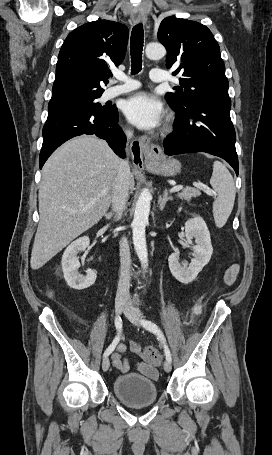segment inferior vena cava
Masks as SVG:
<instances>
[{
    "label": "inferior vena cava",
    "instance_id": "1",
    "mask_svg": "<svg viewBox=\"0 0 272 455\" xmlns=\"http://www.w3.org/2000/svg\"><path fill=\"white\" fill-rule=\"evenodd\" d=\"M127 138L132 137V132L126 133ZM129 177L130 167L128 160H121L117 176L115 178L113 193H112V207L116 213V219H120L124 211V207L128 201L129 196ZM120 262L121 272L120 280L118 283L117 297H128L130 288V249L127 239L124 237L120 240Z\"/></svg>",
    "mask_w": 272,
    "mask_h": 455
}]
</instances>
